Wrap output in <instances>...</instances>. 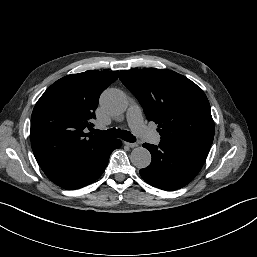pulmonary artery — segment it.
<instances>
[{"instance_id": "e3ab8cb5", "label": "pulmonary artery", "mask_w": 257, "mask_h": 257, "mask_svg": "<svg viewBox=\"0 0 257 257\" xmlns=\"http://www.w3.org/2000/svg\"><path fill=\"white\" fill-rule=\"evenodd\" d=\"M127 121L131 129L139 136L154 144L160 142L159 135L145 125L142 117V110L138 104L133 103L128 108Z\"/></svg>"}]
</instances>
